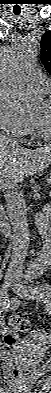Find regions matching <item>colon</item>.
<instances>
[{"label":"colon","mask_w":51,"mask_h":393,"mask_svg":"<svg viewBox=\"0 0 51 393\" xmlns=\"http://www.w3.org/2000/svg\"><path fill=\"white\" fill-rule=\"evenodd\" d=\"M9 325L13 330L19 332H27L31 327L30 322L27 319L18 315L10 316ZM16 343L17 335L15 332L12 331L5 334L3 344L7 350H12ZM11 375L16 378L19 376V371L17 369H14L12 370Z\"/></svg>","instance_id":"obj_1"}]
</instances>
